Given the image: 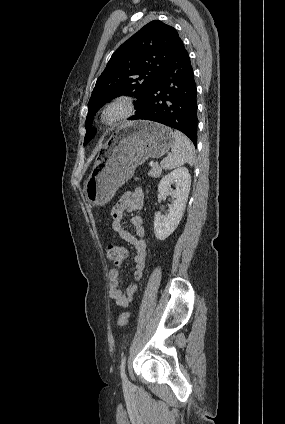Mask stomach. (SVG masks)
Wrapping results in <instances>:
<instances>
[{
	"instance_id": "0dacf381",
	"label": "stomach",
	"mask_w": 285,
	"mask_h": 424,
	"mask_svg": "<svg viewBox=\"0 0 285 424\" xmlns=\"http://www.w3.org/2000/svg\"><path fill=\"white\" fill-rule=\"evenodd\" d=\"M174 144L169 127L150 121H131L102 146L83 193L92 205L108 203L115 191L128 181L137 166L148 158H159Z\"/></svg>"
}]
</instances>
